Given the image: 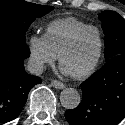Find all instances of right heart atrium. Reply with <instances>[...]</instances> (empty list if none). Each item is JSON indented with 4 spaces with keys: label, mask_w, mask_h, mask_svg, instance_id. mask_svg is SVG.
Segmentation results:
<instances>
[{
    "label": "right heart atrium",
    "mask_w": 125,
    "mask_h": 125,
    "mask_svg": "<svg viewBox=\"0 0 125 125\" xmlns=\"http://www.w3.org/2000/svg\"><path fill=\"white\" fill-rule=\"evenodd\" d=\"M29 62L36 72H41L46 65L52 64L57 56L49 48L44 35L32 34L27 40Z\"/></svg>",
    "instance_id": "obj_1"
}]
</instances>
